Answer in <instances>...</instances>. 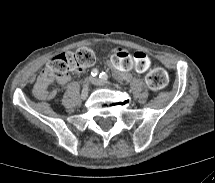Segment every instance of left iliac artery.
<instances>
[{
  "instance_id": "obj_1",
  "label": "left iliac artery",
  "mask_w": 215,
  "mask_h": 183,
  "mask_svg": "<svg viewBox=\"0 0 215 183\" xmlns=\"http://www.w3.org/2000/svg\"><path fill=\"white\" fill-rule=\"evenodd\" d=\"M99 78L103 81H106L108 79V75L105 72H102L99 74Z\"/></svg>"
}]
</instances>
